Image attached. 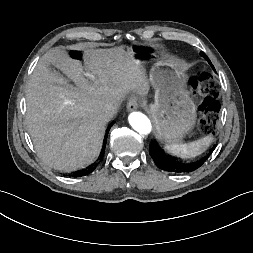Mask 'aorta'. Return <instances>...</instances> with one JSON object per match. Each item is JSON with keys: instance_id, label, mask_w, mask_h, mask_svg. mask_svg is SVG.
Segmentation results:
<instances>
[{"instance_id": "obj_1", "label": "aorta", "mask_w": 253, "mask_h": 253, "mask_svg": "<svg viewBox=\"0 0 253 253\" xmlns=\"http://www.w3.org/2000/svg\"><path fill=\"white\" fill-rule=\"evenodd\" d=\"M128 121L132 128L141 134L147 135L152 130L149 118L141 112H132L128 117Z\"/></svg>"}]
</instances>
